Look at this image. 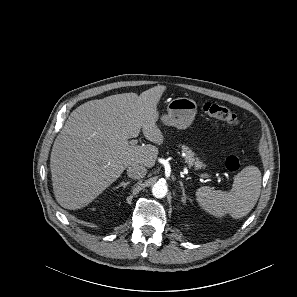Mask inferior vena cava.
<instances>
[{"label":"inferior vena cava","instance_id":"602c4592","mask_svg":"<svg viewBox=\"0 0 297 297\" xmlns=\"http://www.w3.org/2000/svg\"><path fill=\"white\" fill-rule=\"evenodd\" d=\"M147 173V169L142 165H131L127 169V175L132 179H141Z\"/></svg>","mask_w":297,"mask_h":297}]
</instances>
